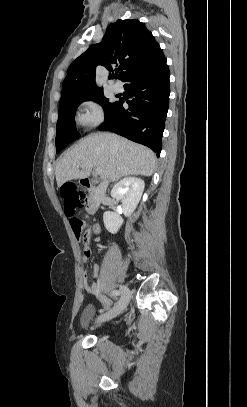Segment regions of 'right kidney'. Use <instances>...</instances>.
<instances>
[{"label":"right kidney","mask_w":247,"mask_h":407,"mask_svg":"<svg viewBox=\"0 0 247 407\" xmlns=\"http://www.w3.org/2000/svg\"><path fill=\"white\" fill-rule=\"evenodd\" d=\"M144 188V181L135 177H126L113 187L111 196L122 202V212L126 217L130 216L136 209ZM103 221L107 231L115 234L124 220L117 212L106 211L103 214Z\"/></svg>","instance_id":"ca27d5eb"}]
</instances>
